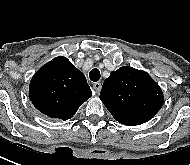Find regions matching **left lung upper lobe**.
<instances>
[{
  "label": "left lung upper lobe",
  "mask_w": 190,
  "mask_h": 165,
  "mask_svg": "<svg viewBox=\"0 0 190 165\" xmlns=\"http://www.w3.org/2000/svg\"><path fill=\"white\" fill-rule=\"evenodd\" d=\"M100 99L118 122L134 126L149 121L160 110L163 92L148 73L124 66L104 81Z\"/></svg>",
  "instance_id": "1"
}]
</instances>
